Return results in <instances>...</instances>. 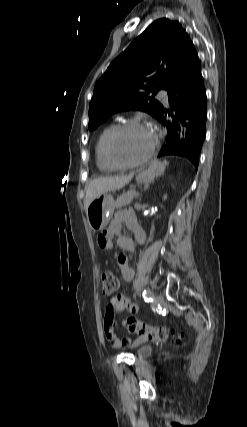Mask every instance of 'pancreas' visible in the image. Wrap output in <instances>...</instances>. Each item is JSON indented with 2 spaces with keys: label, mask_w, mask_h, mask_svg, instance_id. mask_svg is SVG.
<instances>
[{
  "label": "pancreas",
  "mask_w": 247,
  "mask_h": 427,
  "mask_svg": "<svg viewBox=\"0 0 247 427\" xmlns=\"http://www.w3.org/2000/svg\"><path fill=\"white\" fill-rule=\"evenodd\" d=\"M137 197L138 193L136 191H128L117 198L115 206L116 208H121L122 206L129 205L133 201V199Z\"/></svg>",
  "instance_id": "cf45deb5"
}]
</instances>
